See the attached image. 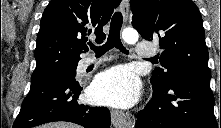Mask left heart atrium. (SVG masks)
<instances>
[{"label":"left heart atrium","instance_id":"1","mask_svg":"<svg viewBox=\"0 0 221 128\" xmlns=\"http://www.w3.org/2000/svg\"><path fill=\"white\" fill-rule=\"evenodd\" d=\"M90 97L100 104L127 108L139 98V81L131 70L117 66L96 78Z\"/></svg>","mask_w":221,"mask_h":128}]
</instances>
